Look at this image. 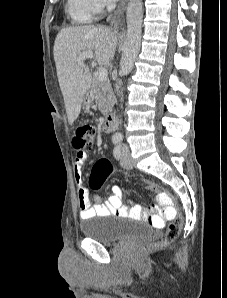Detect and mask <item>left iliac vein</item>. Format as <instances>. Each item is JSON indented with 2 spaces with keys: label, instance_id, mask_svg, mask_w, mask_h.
I'll return each instance as SVG.
<instances>
[{
  "label": "left iliac vein",
  "instance_id": "left-iliac-vein-1",
  "mask_svg": "<svg viewBox=\"0 0 227 298\" xmlns=\"http://www.w3.org/2000/svg\"><path fill=\"white\" fill-rule=\"evenodd\" d=\"M121 166L125 169H131L133 167L131 154L128 147L123 148L122 157H121Z\"/></svg>",
  "mask_w": 227,
  "mask_h": 298
}]
</instances>
